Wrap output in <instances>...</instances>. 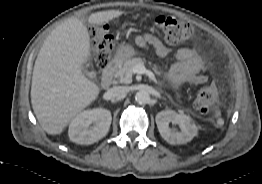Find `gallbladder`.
<instances>
[{"label": "gallbladder", "mask_w": 262, "mask_h": 184, "mask_svg": "<svg viewBox=\"0 0 262 184\" xmlns=\"http://www.w3.org/2000/svg\"><path fill=\"white\" fill-rule=\"evenodd\" d=\"M82 73L86 76V77H92V72L88 71V69L83 68L82 69Z\"/></svg>", "instance_id": "gallbladder-1"}]
</instances>
